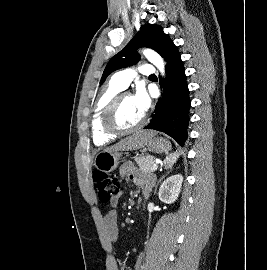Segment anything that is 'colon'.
<instances>
[{
    "label": "colon",
    "instance_id": "5ec220e1",
    "mask_svg": "<svg viewBox=\"0 0 267 270\" xmlns=\"http://www.w3.org/2000/svg\"><path fill=\"white\" fill-rule=\"evenodd\" d=\"M93 184L102 203L112 201L120 192V180L101 171L94 173Z\"/></svg>",
    "mask_w": 267,
    "mask_h": 270
}]
</instances>
